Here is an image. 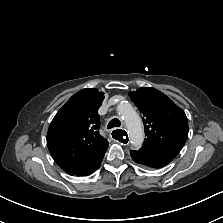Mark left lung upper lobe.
<instances>
[{
    "label": "left lung upper lobe",
    "instance_id": "obj_1",
    "mask_svg": "<svg viewBox=\"0 0 223 223\" xmlns=\"http://www.w3.org/2000/svg\"><path fill=\"white\" fill-rule=\"evenodd\" d=\"M129 96L143 114L145 140L143 147L176 157L188 136L185 112L165 94L152 87H143Z\"/></svg>",
    "mask_w": 223,
    "mask_h": 223
}]
</instances>
